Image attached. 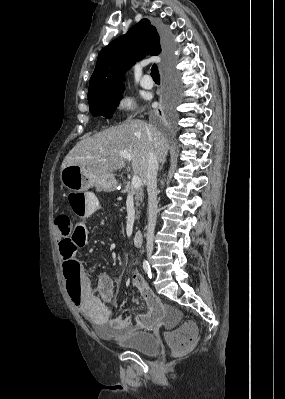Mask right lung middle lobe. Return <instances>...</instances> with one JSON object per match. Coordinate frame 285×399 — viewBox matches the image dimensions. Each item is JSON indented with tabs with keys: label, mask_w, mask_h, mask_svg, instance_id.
I'll return each instance as SVG.
<instances>
[{
	"label": "right lung middle lobe",
	"mask_w": 285,
	"mask_h": 399,
	"mask_svg": "<svg viewBox=\"0 0 285 399\" xmlns=\"http://www.w3.org/2000/svg\"><path fill=\"white\" fill-rule=\"evenodd\" d=\"M119 91L116 93L102 94L92 99H89V109L93 116H104L105 118H111L116 107L119 104L122 96Z\"/></svg>",
	"instance_id": "1"
}]
</instances>
